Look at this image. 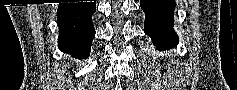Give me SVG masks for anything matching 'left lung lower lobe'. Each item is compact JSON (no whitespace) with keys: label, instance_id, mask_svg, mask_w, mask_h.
<instances>
[{"label":"left lung lower lobe","instance_id":"1","mask_svg":"<svg viewBox=\"0 0 237 90\" xmlns=\"http://www.w3.org/2000/svg\"><path fill=\"white\" fill-rule=\"evenodd\" d=\"M140 5L145 13V33L159 50L173 48L177 45L178 36L173 30V0H141Z\"/></svg>","mask_w":237,"mask_h":90}]
</instances>
